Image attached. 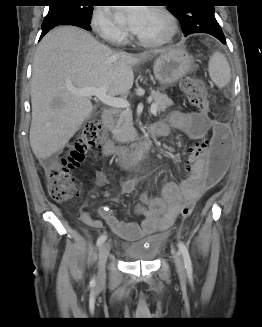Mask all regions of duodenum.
<instances>
[{"instance_id": "1", "label": "duodenum", "mask_w": 262, "mask_h": 327, "mask_svg": "<svg viewBox=\"0 0 262 327\" xmlns=\"http://www.w3.org/2000/svg\"><path fill=\"white\" fill-rule=\"evenodd\" d=\"M101 120L108 131H111L113 126V113L111 110H103ZM157 126L153 125L149 128L146 136L140 137L137 141L128 146H117L113 140H109L102 148V153L105 157L117 155L119 161L124 165H135L144 153L150 148L151 141L158 136L156 132Z\"/></svg>"}]
</instances>
